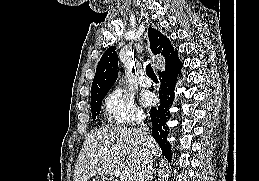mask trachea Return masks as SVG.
I'll return each mask as SVG.
<instances>
[{
  "label": "trachea",
  "instance_id": "1",
  "mask_svg": "<svg viewBox=\"0 0 259 181\" xmlns=\"http://www.w3.org/2000/svg\"><path fill=\"white\" fill-rule=\"evenodd\" d=\"M146 74L150 78H157V76H156V74H155L151 64H147L146 65Z\"/></svg>",
  "mask_w": 259,
  "mask_h": 181
}]
</instances>
